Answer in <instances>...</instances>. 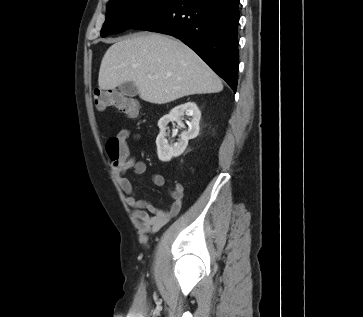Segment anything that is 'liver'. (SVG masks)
Here are the masks:
<instances>
[{
	"label": "liver",
	"mask_w": 363,
	"mask_h": 317,
	"mask_svg": "<svg viewBox=\"0 0 363 317\" xmlns=\"http://www.w3.org/2000/svg\"><path fill=\"white\" fill-rule=\"evenodd\" d=\"M128 81L135 84L142 100L154 104L223 89L220 78L192 49L159 33L131 35L106 51L99 70L100 89H114Z\"/></svg>",
	"instance_id": "liver-1"
}]
</instances>
